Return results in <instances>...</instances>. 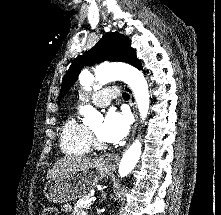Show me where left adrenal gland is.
<instances>
[{
    "instance_id": "obj_1",
    "label": "left adrenal gland",
    "mask_w": 221,
    "mask_h": 215,
    "mask_svg": "<svg viewBox=\"0 0 221 215\" xmlns=\"http://www.w3.org/2000/svg\"><path fill=\"white\" fill-rule=\"evenodd\" d=\"M106 198V194H103V199H105Z\"/></svg>"
}]
</instances>
